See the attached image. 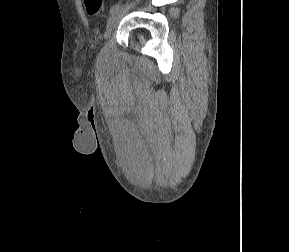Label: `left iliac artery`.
<instances>
[{"label": "left iliac artery", "mask_w": 289, "mask_h": 252, "mask_svg": "<svg viewBox=\"0 0 289 252\" xmlns=\"http://www.w3.org/2000/svg\"><path fill=\"white\" fill-rule=\"evenodd\" d=\"M121 7H122V5L120 3L113 5L110 9V13L112 14V13L118 11Z\"/></svg>", "instance_id": "44dca946"}]
</instances>
